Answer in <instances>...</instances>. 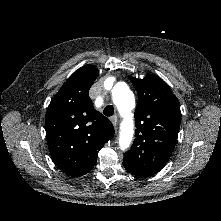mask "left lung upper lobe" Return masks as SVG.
I'll list each match as a JSON object with an SVG mask.
<instances>
[{
	"label": "left lung upper lobe",
	"instance_id": "left-lung-upper-lobe-1",
	"mask_svg": "<svg viewBox=\"0 0 221 221\" xmlns=\"http://www.w3.org/2000/svg\"><path fill=\"white\" fill-rule=\"evenodd\" d=\"M138 92L135 140L125 153L123 165L136 176H150L168 161L177 141L181 113L177 97L159 77H130Z\"/></svg>",
	"mask_w": 221,
	"mask_h": 221
}]
</instances>
